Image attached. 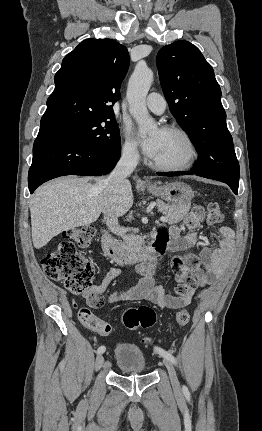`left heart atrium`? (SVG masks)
Returning a JSON list of instances; mask_svg holds the SVG:
<instances>
[{
  "instance_id": "39dd6f15",
  "label": "left heart atrium",
  "mask_w": 262,
  "mask_h": 431,
  "mask_svg": "<svg viewBox=\"0 0 262 431\" xmlns=\"http://www.w3.org/2000/svg\"><path fill=\"white\" fill-rule=\"evenodd\" d=\"M161 131L162 130H157L151 136L141 140V144L145 153L150 157H153L157 151L158 144L160 142Z\"/></svg>"
}]
</instances>
